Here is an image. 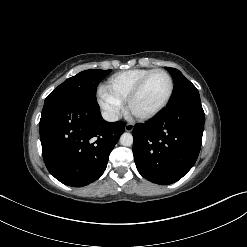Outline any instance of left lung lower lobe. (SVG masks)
Listing matches in <instances>:
<instances>
[{
	"label": "left lung lower lobe",
	"instance_id": "left-lung-lower-lobe-1",
	"mask_svg": "<svg viewBox=\"0 0 247 247\" xmlns=\"http://www.w3.org/2000/svg\"><path fill=\"white\" fill-rule=\"evenodd\" d=\"M205 114L200 98L168 105L153 120L133 129V155L139 173L161 185L181 179L201 148Z\"/></svg>",
	"mask_w": 247,
	"mask_h": 247
}]
</instances>
